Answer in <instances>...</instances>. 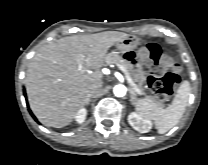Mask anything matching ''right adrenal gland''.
Segmentation results:
<instances>
[{"instance_id": "1", "label": "right adrenal gland", "mask_w": 208, "mask_h": 165, "mask_svg": "<svg viewBox=\"0 0 208 165\" xmlns=\"http://www.w3.org/2000/svg\"><path fill=\"white\" fill-rule=\"evenodd\" d=\"M92 97H93L92 94H89V95H88V97H87V99H86V101H85V105H86V106L89 105V103L91 102V98H92Z\"/></svg>"}]
</instances>
